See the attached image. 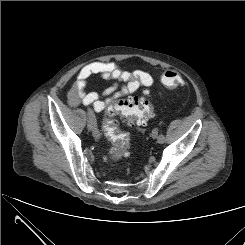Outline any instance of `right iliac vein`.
Returning <instances> with one entry per match:
<instances>
[{
  "mask_svg": "<svg viewBox=\"0 0 245 245\" xmlns=\"http://www.w3.org/2000/svg\"><path fill=\"white\" fill-rule=\"evenodd\" d=\"M87 128H88V130H92V132H93V128H92V123H91V121L90 120H88V122H87ZM93 136L95 137V138H99V136L97 135V134H94L93 133Z\"/></svg>",
  "mask_w": 245,
  "mask_h": 245,
  "instance_id": "obj_1",
  "label": "right iliac vein"
}]
</instances>
